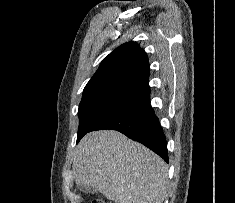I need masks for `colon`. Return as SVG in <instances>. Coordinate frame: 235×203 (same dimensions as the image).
I'll use <instances>...</instances> for the list:
<instances>
[{
    "instance_id": "1",
    "label": "colon",
    "mask_w": 235,
    "mask_h": 203,
    "mask_svg": "<svg viewBox=\"0 0 235 203\" xmlns=\"http://www.w3.org/2000/svg\"><path fill=\"white\" fill-rule=\"evenodd\" d=\"M93 203H113V202L104 200L102 198H98V199H95Z\"/></svg>"
}]
</instances>
